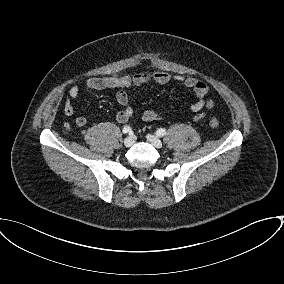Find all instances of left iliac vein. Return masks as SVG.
<instances>
[{
  "label": "left iliac vein",
  "instance_id": "obj_1",
  "mask_svg": "<svg viewBox=\"0 0 284 284\" xmlns=\"http://www.w3.org/2000/svg\"><path fill=\"white\" fill-rule=\"evenodd\" d=\"M147 140L156 148H161L162 147V141L155 135L153 134H148Z\"/></svg>",
  "mask_w": 284,
  "mask_h": 284
}]
</instances>
